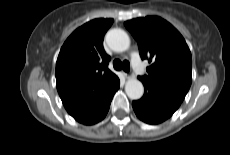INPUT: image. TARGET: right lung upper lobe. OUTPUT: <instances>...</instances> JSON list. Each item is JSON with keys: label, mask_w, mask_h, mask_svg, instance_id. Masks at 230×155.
Returning a JSON list of instances; mask_svg holds the SVG:
<instances>
[{"label": "right lung upper lobe", "mask_w": 230, "mask_h": 155, "mask_svg": "<svg viewBox=\"0 0 230 155\" xmlns=\"http://www.w3.org/2000/svg\"><path fill=\"white\" fill-rule=\"evenodd\" d=\"M113 19H94L76 29L63 44L56 62L57 90L73 116L96 106L111 92L118 77L108 69L102 43Z\"/></svg>", "instance_id": "obj_1"}]
</instances>
